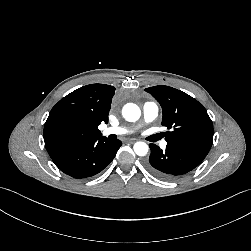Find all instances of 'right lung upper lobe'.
<instances>
[{
	"mask_svg": "<svg viewBox=\"0 0 251 251\" xmlns=\"http://www.w3.org/2000/svg\"><path fill=\"white\" fill-rule=\"evenodd\" d=\"M115 88L105 84L81 87L62 98L44 126L45 147L53 156L63 147L102 136L98 126L108 122Z\"/></svg>",
	"mask_w": 251,
	"mask_h": 251,
	"instance_id": "cb5924a9",
	"label": "right lung upper lobe"
}]
</instances>
